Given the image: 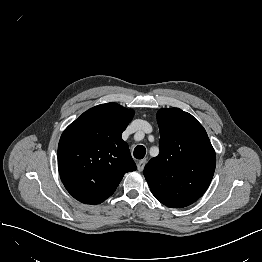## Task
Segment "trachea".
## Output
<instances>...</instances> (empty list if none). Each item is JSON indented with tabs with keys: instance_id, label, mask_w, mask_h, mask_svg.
Masks as SVG:
<instances>
[{
	"instance_id": "trachea-1",
	"label": "trachea",
	"mask_w": 262,
	"mask_h": 262,
	"mask_svg": "<svg viewBox=\"0 0 262 262\" xmlns=\"http://www.w3.org/2000/svg\"><path fill=\"white\" fill-rule=\"evenodd\" d=\"M133 154L135 158L142 159L146 154V148L142 145H138L135 147Z\"/></svg>"
}]
</instances>
